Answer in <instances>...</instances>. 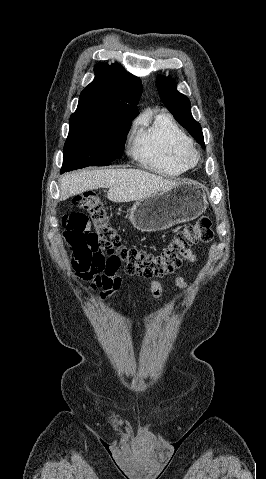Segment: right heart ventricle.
<instances>
[{"instance_id": "e07e8e85", "label": "right heart ventricle", "mask_w": 266, "mask_h": 479, "mask_svg": "<svg viewBox=\"0 0 266 479\" xmlns=\"http://www.w3.org/2000/svg\"><path fill=\"white\" fill-rule=\"evenodd\" d=\"M191 139L168 114L144 118L134 134L131 154L142 167L163 176H179L195 164L187 158Z\"/></svg>"}]
</instances>
